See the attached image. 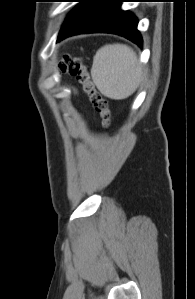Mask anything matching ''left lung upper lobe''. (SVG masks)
<instances>
[{
  "instance_id": "1",
  "label": "left lung upper lobe",
  "mask_w": 195,
  "mask_h": 299,
  "mask_svg": "<svg viewBox=\"0 0 195 299\" xmlns=\"http://www.w3.org/2000/svg\"><path fill=\"white\" fill-rule=\"evenodd\" d=\"M80 4L68 15L63 27L69 25L80 13L88 0H79Z\"/></svg>"
}]
</instances>
